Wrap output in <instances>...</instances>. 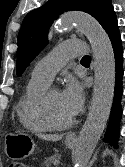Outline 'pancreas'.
I'll use <instances>...</instances> for the list:
<instances>
[{"label": "pancreas", "instance_id": "obj_1", "mask_svg": "<svg viewBox=\"0 0 125 167\" xmlns=\"http://www.w3.org/2000/svg\"><path fill=\"white\" fill-rule=\"evenodd\" d=\"M58 160V156L54 155L51 157L46 158L45 160V164L47 167L51 166L53 164L54 161Z\"/></svg>", "mask_w": 125, "mask_h": 167}]
</instances>
